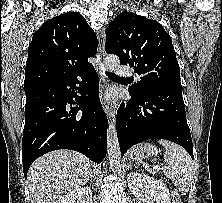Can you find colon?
<instances>
[{"instance_id": "1", "label": "colon", "mask_w": 222, "mask_h": 203, "mask_svg": "<svg viewBox=\"0 0 222 203\" xmlns=\"http://www.w3.org/2000/svg\"><path fill=\"white\" fill-rule=\"evenodd\" d=\"M172 203H181V199H180V196H179V193L177 191H173V194H172Z\"/></svg>"}]
</instances>
